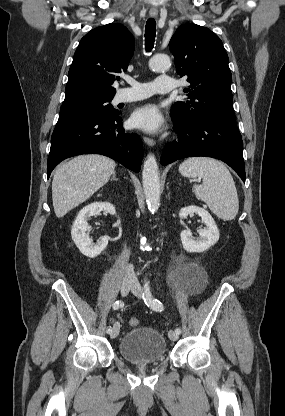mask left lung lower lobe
<instances>
[{
    "mask_svg": "<svg viewBox=\"0 0 285 416\" xmlns=\"http://www.w3.org/2000/svg\"><path fill=\"white\" fill-rule=\"evenodd\" d=\"M178 137L165 146L161 164L176 160L206 156L227 163L245 182L243 142L234 115H212L189 125H175Z\"/></svg>",
    "mask_w": 285,
    "mask_h": 416,
    "instance_id": "0a47b994",
    "label": "left lung lower lobe"
}]
</instances>
